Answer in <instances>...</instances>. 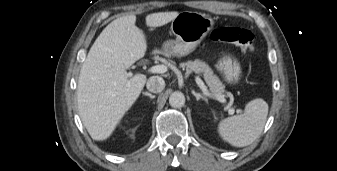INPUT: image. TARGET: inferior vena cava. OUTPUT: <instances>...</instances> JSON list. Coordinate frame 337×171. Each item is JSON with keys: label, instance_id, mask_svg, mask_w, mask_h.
Wrapping results in <instances>:
<instances>
[{"label": "inferior vena cava", "instance_id": "1", "mask_svg": "<svg viewBox=\"0 0 337 171\" xmlns=\"http://www.w3.org/2000/svg\"><path fill=\"white\" fill-rule=\"evenodd\" d=\"M147 89L153 93H160L165 88V81L159 76H152L146 84Z\"/></svg>", "mask_w": 337, "mask_h": 171}]
</instances>
